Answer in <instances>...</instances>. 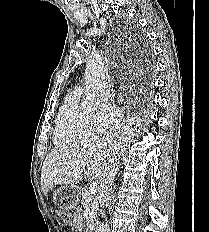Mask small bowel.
<instances>
[{
  "instance_id": "small-bowel-1",
  "label": "small bowel",
  "mask_w": 209,
  "mask_h": 232,
  "mask_svg": "<svg viewBox=\"0 0 209 232\" xmlns=\"http://www.w3.org/2000/svg\"><path fill=\"white\" fill-rule=\"evenodd\" d=\"M71 226L76 230V231H80V226H81V221L79 217H76L72 223Z\"/></svg>"
}]
</instances>
